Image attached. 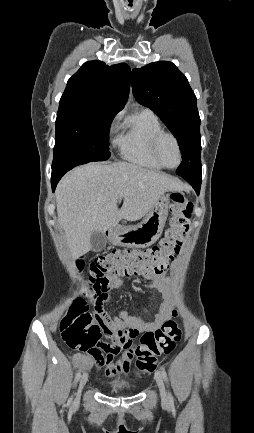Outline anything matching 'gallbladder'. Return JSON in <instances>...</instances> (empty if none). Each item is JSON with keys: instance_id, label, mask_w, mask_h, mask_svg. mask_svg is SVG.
I'll use <instances>...</instances> for the list:
<instances>
[{"instance_id": "gallbladder-1", "label": "gallbladder", "mask_w": 254, "mask_h": 433, "mask_svg": "<svg viewBox=\"0 0 254 433\" xmlns=\"http://www.w3.org/2000/svg\"><path fill=\"white\" fill-rule=\"evenodd\" d=\"M90 241H91V245H92V250L94 252L102 251L105 248L106 242H107L106 236L99 231L93 232V234L91 235Z\"/></svg>"}]
</instances>
